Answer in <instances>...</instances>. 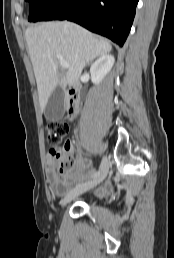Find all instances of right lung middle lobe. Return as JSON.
I'll list each match as a JSON object with an SVG mask.
<instances>
[{
  "mask_svg": "<svg viewBox=\"0 0 174 258\" xmlns=\"http://www.w3.org/2000/svg\"><path fill=\"white\" fill-rule=\"evenodd\" d=\"M30 3V13L28 21L37 22L41 21L44 14L47 12L48 7L53 0H26Z\"/></svg>",
  "mask_w": 174,
  "mask_h": 258,
  "instance_id": "1",
  "label": "right lung middle lobe"
}]
</instances>
